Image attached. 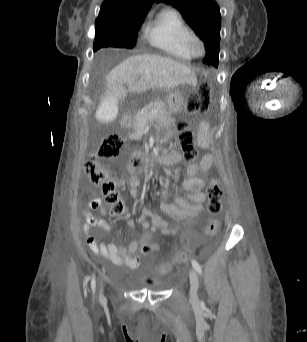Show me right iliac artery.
<instances>
[{
	"mask_svg": "<svg viewBox=\"0 0 307 342\" xmlns=\"http://www.w3.org/2000/svg\"><path fill=\"white\" fill-rule=\"evenodd\" d=\"M95 287H96L95 276L93 275L92 281H91V288H92V291H93V292L95 291Z\"/></svg>",
	"mask_w": 307,
	"mask_h": 342,
	"instance_id": "82829eb1",
	"label": "right iliac artery"
}]
</instances>
